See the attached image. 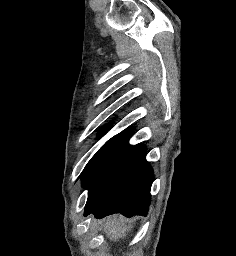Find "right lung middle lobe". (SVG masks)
Segmentation results:
<instances>
[{"label":"right lung middle lobe","instance_id":"1","mask_svg":"<svg viewBox=\"0 0 236 256\" xmlns=\"http://www.w3.org/2000/svg\"><path fill=\"white\" fill-rule=\"evenodd\" d=\"M132 130L128 129L114 136L103 145L88 162L82 173L83 187L87 188L98 175L118 156L123 154L131 146L128 139Z\"/></svg>","mask_w":236,"mask_h":256}]
</instances>
